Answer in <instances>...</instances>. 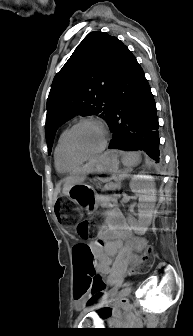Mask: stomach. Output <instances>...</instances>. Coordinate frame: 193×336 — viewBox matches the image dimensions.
Instances as JSON below:
<instances>
[{"label": "stomach", "mask_w": 193, "mask_h": 336, "mask_svg": "<svg viewBox=\"0 0 193 336\" xmlns=\"http://www.w3.org/2000/svg\"><path fill=\"white\" fill-rule=\"evenodd\" d=\"M119 161L114 152H106L98 158V161L91 168V173L115 175L118 172ZM69 197L85 210L92 212L98 205L99 198L94 189L84 183L74 185Z\"/></svg>", "instance_id": "stomach-1"}]
</instances>
